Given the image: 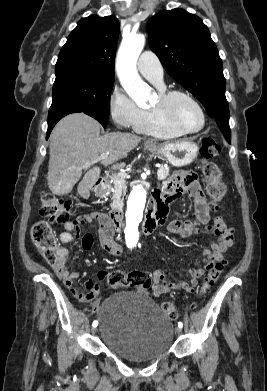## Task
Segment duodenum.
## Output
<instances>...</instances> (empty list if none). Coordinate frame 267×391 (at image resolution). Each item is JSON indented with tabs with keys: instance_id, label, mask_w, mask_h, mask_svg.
Returning <instances> with one entry per match:
<instances>
[{
	"instance_id": "duodenum-1",
	"label": "duodenum",
	"mask_w": 267,
	"mask_h": 391,
	"mask_svg": "<svg viewBox=\"0 0 267 391\" xmlns=\"http://www.w3.org/2000/svg\"><path fill=\"white\" fill-rule=\"evenodd\" d=\"M107 186V179L104 177L98 178L93 184V192L102 194ZM123 224V215L120 209H115L109 217V226L113 232H121ZM162 224L161 215L158 210L150 211L143 221V232L145 234L153 233L159 225Z\"/></svg>"
}]
</instances>
